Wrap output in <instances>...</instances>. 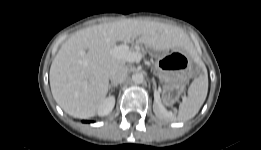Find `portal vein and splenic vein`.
Wrapping results in <instances>:
<instances>
[{
	"instance_id": "18ae733b",
	"label": "portal vein and splenic vein",
	"mask_w": 261,
	"mask_h": 150,
	"mask_svg": "<svg viewBox=\"0 0 261 150\" xmlns=\"http://www.w3.org/2000/svg\"><path fill=\"white\" fill-rule=\"evenodd\" d=\"M111 54L114 57L125 60L127 62H139L142 59V54L140 52L129 51V46L126 44L114 46L111 49Z\"/></svg>"
}]
</instances>
